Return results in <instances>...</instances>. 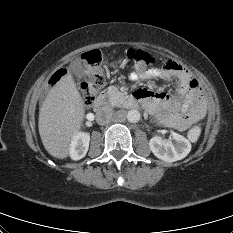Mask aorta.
I'll return each mask as SVG.
<instances>
[{
	"mask_svg": "<svg viewBox=\"0 0 233 233\" xmlns=\"http://www.w3.org/2000/svg\"><path fill=\"white\" fill-rule=\"evenodd\" d=\"M126 118L129 122L136 123L140 120L141 115H140V112L138 110L132 109V110L128 111Z\"/></svg>",
	"mask_w": 233,
	"mask_h": 233,
	"instance_id": "1",
	"label": "aorta"
}]
</instances>
